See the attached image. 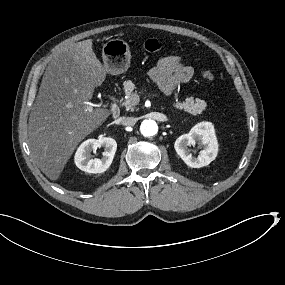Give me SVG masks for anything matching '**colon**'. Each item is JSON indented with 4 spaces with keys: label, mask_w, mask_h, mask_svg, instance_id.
Wrapping results in <instances>:
<instances>
[{
    "label": "colon",
    "mask_w": 285,
    "mask_h": 285,
    "mask_svg": "<svg viewBox=\"0 0 285 285\" xmlns=\"http://www.w3.org/2000/svg\"><path fill=\"white\" fill-rule=\"evenodd\" d=\"M162 47H163L162 42L158 39H155V38L147 39L143 43L144 50L147 52H150V53L159 52L162 49ZM202 77L205 80L211 81L214 79V74L209 70H205L202 72Z\"/></svg>",
    "instance_id": "obj_1"
}]
</instances>
